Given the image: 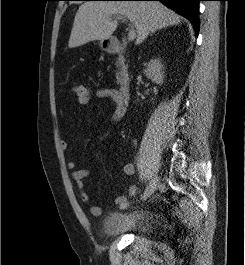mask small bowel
Masks as SVG:
<instances>
[{"label": "small bowel", "instance_id": "obj_1", "mask_svg": "<svg viewBox=\"0 0 245 265\" xmlns=\"http://www.w3.org/2000/svg\"><path fill=\"white\" fill-rule=\"evenodd\" d=\"M96 96L100 99H108L111 101L115 107L114 113L112 115V122L119 121L125 114L126 111V102L123 101L120 93L118 90L114 88H102L97 90ZM106 137L104 135L101 137V140H103ZM61 147L62 149L66 150L68 148V142L66 140L61 141ZM67 166L69 170H71V177L74 183L76 184V187L79 191V197L82 202L89 204L90 203V196L85 191V184L84 180L89 176L90 171L85 168H77L76 163L71 160L67 163ZM123 172L126 176H132L135 173V167L133 164H126L123 168ZM137 194V188L132 186L128 190V195H119L115 199V203L117 205H120L124 202H126L128 197H132ZM89 211L94 216H99L102 213L101 207L97 205H90Z\"/></svg>", "mask_w": 245, "mask_h": 265}]
</instances>
